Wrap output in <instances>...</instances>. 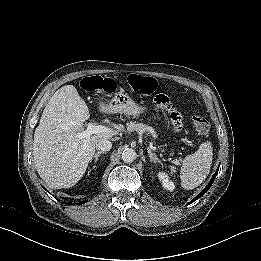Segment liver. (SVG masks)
I'll return each mask as SVG.
<instances>
[{
	"instance_id": "liver-1",
	"label": "liver",
	"mask_w": 261,
	"mask_h": 261,
	"mask_svg": "<svg viewBox=\"0 0 261 261\" xmlns=\"http://www.w3.org/2000/svg\"><path fill=\"white\" fill-rule=\"evenodd\" d=\"M108 109L100 102V112ZM89 117V109L73 85L58 89L44 108L34 133L33 158L39 176L48 186L75 185L94 157L96 143L111 138L110 133L78 137Z\"/></svg>"
}]
</instances>
